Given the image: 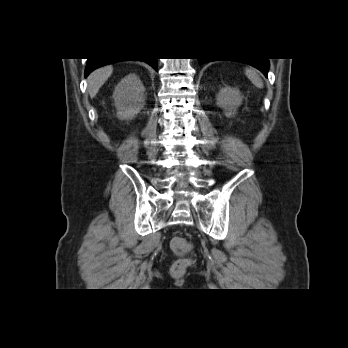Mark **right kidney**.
<instances>
[{"mask_svg": "<svg viewBox=\"0 0 348 348\" xmlns=\"http://www.w3.org/2000/svg\"><path fill=\"white\" fill-rule=\"evenodd\" d=\"M144 91V86L135 73L121 79L113 93L119 119H132L143 109L145 105Z\"/></svg>", "mask_w": 348, "mask_h": 348, "instance_id": "1", "label": "right kidney"}]
</instances>
